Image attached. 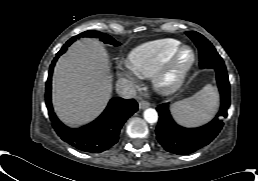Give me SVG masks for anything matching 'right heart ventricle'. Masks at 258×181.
<instances>
[{
    "label": "right heart ventricle",
    "mask_w": 258,
    "mask_h": 181,
    "mask_svg": "<svg viewBox=\"0 0 258 181\" xmlns=\"http://www.w3.org/2000/svg\"><path fill=\"white\" fill-rule=\"evenodd\" d=\"M181 45L179 40L165 38L143 43L129 54L127 65L140 78H151Z\"/></svg>",
    "instance_id": "e07e8e85"
}]
</instances>
